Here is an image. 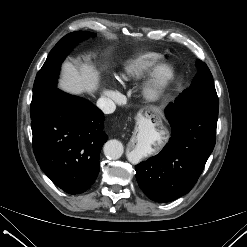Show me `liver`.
<instances>
[{
  "label": "liver",
  "instance_id": "1",
  "mask_svg": "<svg viewBox=\"0 0 247 247\" xmlns=\"http://www.w3.org/2000/svg\"><path fill=\"white\" fill-rule=\"evenodd\" d=\"M99 86V72L92 64H81L79 67L71 62L62 66L59 88L73 95L88 93L92 95Z\"/></svg>",
  "mask_w": 247,
  "mask_h": 247
}]
</instances>
